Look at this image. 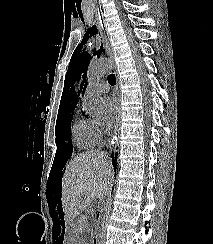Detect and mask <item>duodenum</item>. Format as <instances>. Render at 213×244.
<instances>
[{"mask_svg":"<svg viewBox=\"0 0 213 244\" xmlns=\"http://www.w3.org/2000/svg\"><path fill=\"white\" fill-rule=\"evenodd\" d=\"M91 244H100L99 234L96 233L92 238Z\"/></svg>","mask_w":213,"mask_h":244,"instance_id":"410a0bca","label":"duodenum"}]
</instances>
